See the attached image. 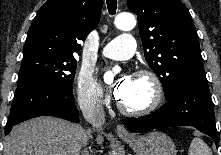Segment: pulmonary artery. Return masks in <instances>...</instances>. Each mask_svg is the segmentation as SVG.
<instances>
[{
  "label": "pulmonary artery",
  "mask_w": 221,
  "mask_h": 155,
  "mask_svg": "<svg viewBox=\"0 0 221 155\" xmlns=\"http://www.w3.org/2000/svg\"><path fill=\"white\" fill-rule=\"evenodd\" d=\"M135 51V40L132 35L124 33L110 41L102 50L105 57L114 60L130 58Z\"/></svg>",
  "instance_id": "e3ab8cb5"
}]
</instances>
